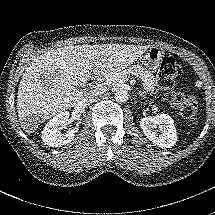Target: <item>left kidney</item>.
I'll return each instance as SVG.
<instances>
[{
	"label": "left kidney",
	"instance_id": "left-kidney-1",
	"mask_svg": "<svg viewBox=\"0 0 215 215\" xmlns=\"http://www.w3.org/2000/svg\"><path fill=\"white\" fill-rule=\"evenodd\" d=\"M140 128L156 147L171 148L176 142V130L171 117L167 114L142 118Z\"/></svg>",
	"mask_w": 215,
	"mask_h": 215
}]
</instances>
